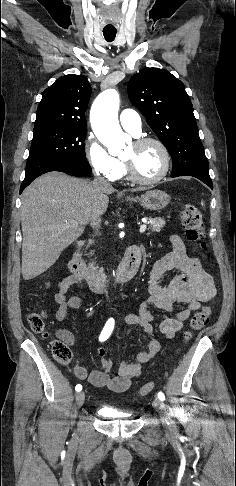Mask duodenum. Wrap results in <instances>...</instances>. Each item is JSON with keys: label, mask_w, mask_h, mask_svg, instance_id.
<instances>
[{"label": "duodenum", "mask_w": 236, "mask_h": 486, "mask_svg": "<svg viewBox=\"0 0 236 486\" xmlns=\"http://www.w3.org/2000/svg\"><path fill=\"white\" fill-rule=\"evenodd\" d=\"M82 243L77 242L69 261L70 271L80 280L85 281L91 290L95 292H102L109 287L106 276L86 265L81 256ZM141 262V249L132 245L126 249L124 259L120 265L116 277L115 284H124L131 280L138 271Z\"/></svg>", "instance_id": "duodenum-1"}]
</instances>
